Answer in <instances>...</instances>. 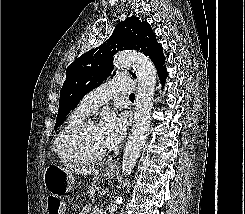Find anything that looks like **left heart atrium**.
Instances as JSON below:
<instances>
[{"instance_id":"39dd6f15","label":"left heart atrium","mask_w":245,"mask_h":214,"mask_svg":"<svg viewBox=\"0 0 245 214\" xmlns=\"http://www.w3.org/2000/svg\"><path fill=\"white\" fill-rule=\"evenodd\" d=\"M126 125L122 118L108 114L98 124L99 134L108 150L115 148L125 134Z\"/></svg>"}]
</instances>
